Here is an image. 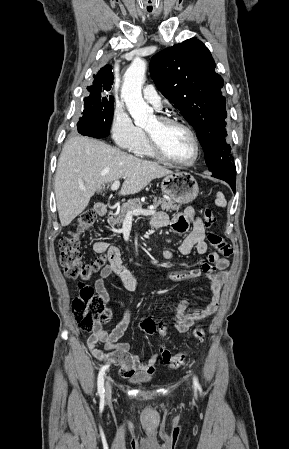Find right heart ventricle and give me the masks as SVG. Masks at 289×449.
<instances>
[{
  "instance_id": "obj_1",
  "label": "right heart ventricle",
  "mask_w": 289,
  "mask_h": 449,
  "mask_svg": "<svg viewBox=\"0 0 289 449\" xmlns=\"http://www.w3.org/2000/svg\"><path fill=\"white\" fill-rule=\"evenodd\" d=\"M135 153L140 156H148V157L154 156L150 150L148 140H147V137L145 134L143 136V140H142L140 146L136 149Z\"/></svg>"
}]
</instances>
